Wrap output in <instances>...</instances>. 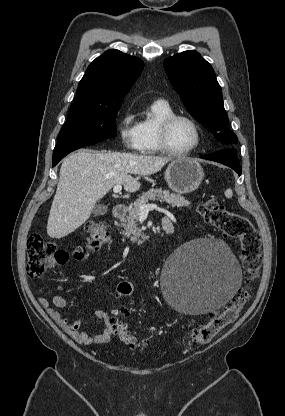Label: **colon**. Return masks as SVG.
I'll return each mask as SVG.
<instances>
[{"label": "colon", "mask_w": 285, "mask_h": 416, "mask_svg": "<svg viewBox=\"0 0 285 416\" xmlns=\"http://www.w3.org/2000/svg\"><path fill=\"white\" fill-rule=\"evenodd\" d=\"M198 212L206 223L219 229L225 236L240 242V258L245 274V286L225 307L213 313L208 322L197 326L192 331L188 341L190 345L210 342L238 318L251 297V285L257 280L261 265L260 237L246 217L228 211L214 198L201 203ZM85 232L86 244L74 252L75 258H82L86 252L98 251L110 238L106 225L98 221H89L85 225ZM27 255V274L31 278L41 277L48 269L64 264L70 256L68 252L46 242L38 234L29 236ZM133 291V285L127 281L121 282L117 286V294L121 297L130 296ZM126 314L125 308L117 309L112 313L111 323L114 333L123 344L133 349H140L143 342L124 321L123 318Z\"/></svg>", "instance_id": "colon-1"}]
</instances>
